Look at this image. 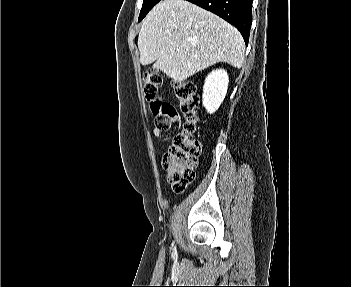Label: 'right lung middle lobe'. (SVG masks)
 <instances>
[{
    "label": "right lung middle lobe",
    "mask_w": 351,
    "mask_h": 287,
    "mask_svg": "<svg viewBox=\"0 0 351 287\" xmlns=\"http://www.w3.org/2000/svg\"><path fill=\"white\" fill-rule=\"evenodd\" d=\"M160 1L161 0H143V5L140 11L138 21L140 22L148 14V12Z\"/></svg>",
    "instance_id": "dd1d6c3e"
}]
</instances>
